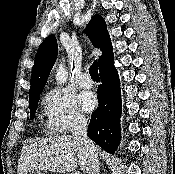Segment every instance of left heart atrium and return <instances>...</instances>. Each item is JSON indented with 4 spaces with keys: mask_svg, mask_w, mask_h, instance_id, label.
I'll use <instances>...</instances> for the list:
<instances>
[{
    "mask_svg": "<svg viewBox=\"0 0 175 174\" xmlns=\"http://www.w3.org/2000/svg\"><path fill=\"white\" fill-rule=\"evenodd\" d=\"M80 101L86 111H92L96 106V98L90 92H84L80 95Z\"/></svg>",
    "mask_w": 175,
    "mask_h": 174,
    "instance_id": "39dd6f15",
    "label": "left heart atrium"
}]
</instances>
